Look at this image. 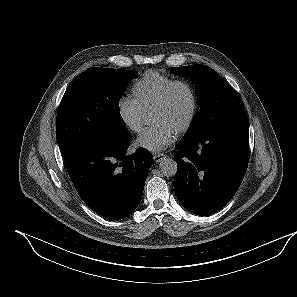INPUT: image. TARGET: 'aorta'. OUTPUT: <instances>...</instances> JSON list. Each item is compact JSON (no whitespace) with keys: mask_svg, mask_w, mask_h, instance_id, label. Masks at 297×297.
<instances>
[{"mask_svg":"<svg viewBox=\"0 0 297 297\" xmlns=\"http://www.w3.org/2000/svg\"><path fill=\"white\" fill-rule=\"evenodd\" d=\"M159 169L164 176L171 177L177 172V163L174 159L164 158L160 162Z\"/></svg>","mask_w":297,"mask_h":297,"instance_id":"aorta-1","label":"aorta"}]
</instances>
